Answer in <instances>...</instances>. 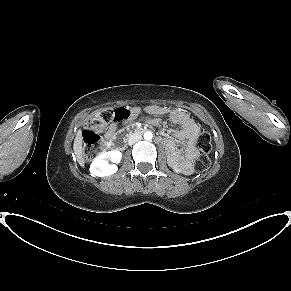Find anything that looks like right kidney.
<instances>
[{
  "label": "right kidney",
  "mask_w": 291,
  "mask_h": 291,
  "mask_svg": "<svg viewBox=\"0 0 291 291\" xmlns=\"http://www.w3.org/2000/svg\"><path fill=\"white\" fill-rule=\"evenodd\" d=\"M122 158L118 150L108 151L97 156L90 165V173L93 176L104 177L117 172V165ZM111 161L113 164H109Z\"/></svg>",
  "instance_id": "ca27d5eb"
}]
</instances>
